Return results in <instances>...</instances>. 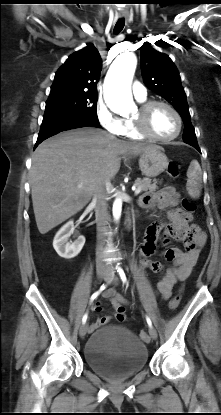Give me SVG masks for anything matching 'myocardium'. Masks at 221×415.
<instances>
[{"label": "myocardium", "instance_id": "obj_1", "mask_svg": "<svg viewBox=\"0 0 221 415\" xmlns=\"http://www.w3.org/2000/svg\"><path fill=\"white\" fill-rule=\"evenodd\" d=\"M157 105H161L169 109L177 120V130L175 134H173L172 136H169V137L157 136L149 128V124H148L149 114L151 110ZM133 122H134L136 130L138 131L140 135H142L144 138L150 139L152 141H157V142H170V141L177 139L179 135L181 134L182 127H183L182 117L180 113L178 112V110L172 104L166 101H163V100H149V101L143 102L138 109V114L134 116Z\"/></svg>", "mask_w": 221, "mask_h": 415}]
</instances>
